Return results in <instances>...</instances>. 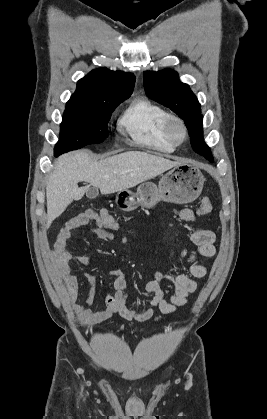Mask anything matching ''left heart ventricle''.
<instances>
[{
    "label": "left heart ventricle",
    "instance_id": "b2bd125f",
    "mask_svg": "<svg viewBox=\"0 0 267 419\" xmlns=\"http://www.w3.org/2000/svg\"><path fill=\"white\" fill-rule=\"evenodd\" d=\"M173 135L176 139L182 138V130L178 125H175L172 129Z\"/></svg>",
    "mask_w": 267,
    "mask_h": 419
}]
</instances>
